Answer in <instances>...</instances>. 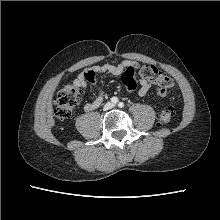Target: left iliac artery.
<instances>
[{"mask_svg": "<svg viewBox=\"0 0 220 220\" xmlns=\"http://www.w3.org/2000/svg\"><path fill=\"white\" fill-rule=\"evenodd\" d=\"M118 106H119L120 108H122V107H124V103H123V102H119Z\"/></svg>", "mask_w": 220, "mask_h": 220, "instance_id": "1", "label": "left iliac artery"}]
</instances>
